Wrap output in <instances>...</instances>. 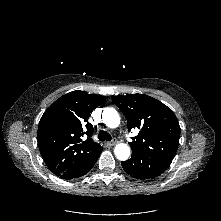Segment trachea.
I'll list each match as a JSON object with an SVG mask.
<instances>
[{
    "label": "trachea",
    "instance_id": "trachea-1",
    "mask_svg": "<svg viewBox=\"0 0 221 221\" xmlns=\"http://www.w3.org/2000/svg\"><path fill=\"white\" fill-rule=\"evenodd\" d=\"M98 138L100 141H111L112 139L111 135L108 132L103 131V130L99 132Z\"/></svg>",
    "mask_w": 221,
    "mask_h": 221
}]
</instances>
